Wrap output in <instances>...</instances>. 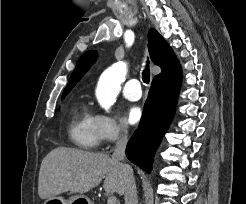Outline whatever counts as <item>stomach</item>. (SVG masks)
Masks as SVG:
<instances>
[{
  "instance_id": "obj_1",
  "label": "stomach",
  "mask_w": 246,
  "mask_h": 204,
  "mask_svg": "<svg viewBox=\"0 0 246 204\" xmlns=\"http://www.w3.org/2000/svg\"><path fill=\"white\" fill-rule=\"evenodd\" d=\"M44 204H92L91 200L84 195H76L65 200L63 197H51L46 199Z\"/></svg>"
}]
</instances>
